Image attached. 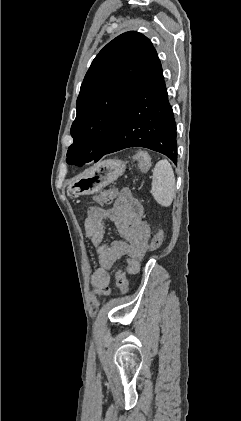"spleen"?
<instances>
[{"label": "spleen", "instance_id": "1", "mask_svg": "<svg viewBox=\"0 0 241 421\" xmlns=\"http://www.w3.org/2000/svg\"><path fill=\"white\" fill-rule=\"evenodd\" d=\"M151 193L154 199L163 207H169L175 197V176L166 159L157 162L153 169Z\"/></svg>", "mask_w": 241, "mask_h": 421}]
</instances>
